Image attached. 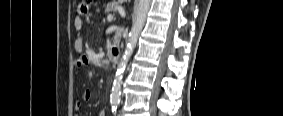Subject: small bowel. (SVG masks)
<instances>
[{
    "label": "small bowel",
    "mask_w": 283,
    "mask_h": 116,
    "mask_svg": "<svg viewBox=\"0 0 283 116\" xmlns=\"http://www.w3.org/2000/svg\"><path fill=\"white\" fill-rule=\"evenodd\" d=\"M78 12L80 14H84L85 13V9L83 7V5H81L79 7V10ZM83 20L80 16H76L73 20V26L75 28V30L77 31V36L76 38L74 39V48L76 51H82L83 49V46H82V35H81V31H82V28H83ZM98 62V59H97V56H93V57H89V56H81L79 59L76 60L75 62V66L77 68H81V67H84L90 63H97ZM93 98V92L91 90H85L84 93H83V99L85 101H89ZM82 105L80 102H77L76 105H75V108L77 110L81 109ZM99 116H105L106 115V111L105 110H101L98 114Z\"/></svg>",
    "instance_id": "obj_1"
}]
</instances>
